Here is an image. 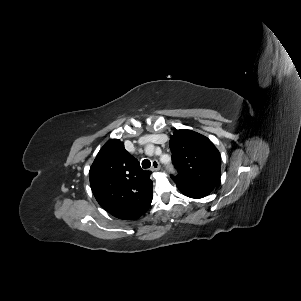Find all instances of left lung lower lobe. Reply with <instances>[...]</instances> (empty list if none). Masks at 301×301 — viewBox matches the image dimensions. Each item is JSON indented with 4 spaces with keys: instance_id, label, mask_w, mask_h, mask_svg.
<instances>
[{
    "instance_id": "obj_1",
    "label": "left lung lower lobe",
    "mask_w": 301,
    "mask_h": 301,
    "mask_svg": "<svg viewBox=\"0 0 301 301\" xmlns=\"http://www.w3.org/2000/svg\"><path fill=\"white\" fill-rule=\"evenodd\" d=\"M185 196L194 198V199H199L207 196L206 194L202 193H194V192H186V191H181Z\"/></svg>"
}]
</instances>
